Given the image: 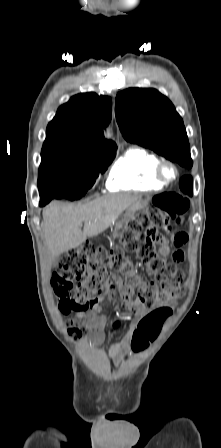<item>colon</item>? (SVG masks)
Returning <instances> with one entry per match:
<instances>
[{
	"instance_id": "colon-1",
	"label": "colon",
	"mask_w": 221,
	"mask_h": 448,
	"mask_svg": "<svg viewBox=\"0 0 221 448\" xmlns=\"http://www.w3.org/2000/svg\"><path fill=\"white\" fill-rule=\"evenodd\" d=\"M189 208L186 197L165 192L153 198V208L138 213L123 225L121 246L114 249L81 246L72 249L51 278L53 294L60 312L82 311L98 301L105 282L112 272L124 275L123 285L132 304L152 310L142 319L132 337L134 347L158 337L162 322L170 315L169 304L184 295V273L159 254L156 244L160 237L154 230L162 226L167 232L180 225ZM131 252L144 264L152 278H142L127 261L124 252ZM70 335L76 339L77 329Z\"/></svg>"
}]
</instances>
